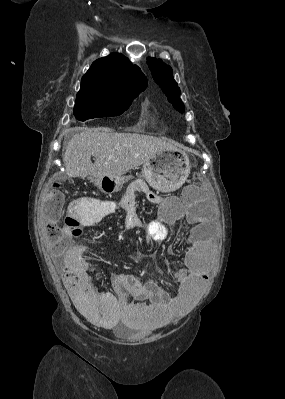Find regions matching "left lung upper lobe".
<instances>
[{
    "instance_id": "left-lung-upper-lobe-1",
    "label": "left lung upper lobe",
    "mask_w": 285,
    "mask_h": 399,
    "mask_svg": "<svg viewBox=\"0 0 285 399\" xmlns=\"http://www.w3.org/2000/svg\"><path fill=\"white\" fill-rule=\"evenodd\" d=\"M147 64L152 72L153 79L166 94L169 102L173 104L176 110L183 113L184 106L180 99V88L172 76L171 67L155 58H150Z\"/></svg>"
}]
</instances>
